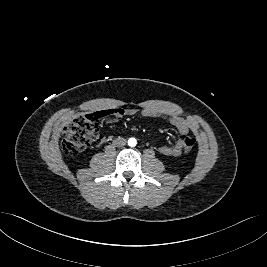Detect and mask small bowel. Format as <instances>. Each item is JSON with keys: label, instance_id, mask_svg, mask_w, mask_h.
Masks as SVG:
<instances>
[{"label": "small bowel", "instance_id": "obj_1", "mask_svg": "<svg viewBox=\"0 0 267 267\" xmlns=\"http://www.w3.org/2000/svg\"><path fill=\"white\" fill-rule=\"evenodd\" d=\"M96 113L101 114L103 117H112L113 120L118 119L122 115L133 116L137 113H140L141 116L147 118H157V119H167L181 134L183 137L187 135L190 131L189 123L176 115H167L162 111L153 109V108H143L141 110H137L134 108H128L125 110L122 109H105L100 110ZM182 137L179 138L174 144L172 145H162L158 148L160 154L164 156H178L181 154L183 149V141Z\"/></svg>", "mask_w": 267, "mask_h": 267}]
</instances>
